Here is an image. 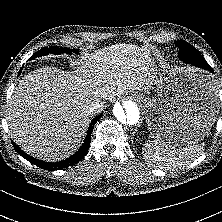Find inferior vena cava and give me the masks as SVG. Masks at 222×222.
Listing matches in <instances>:
<instances>
[{
    "mask_svg": "<svg viewBox=\"0 0 222 222\" xmlns=\"http://www.w3.org/2000/svg\"><path fill=\"white\" fill-rule=\"evenodd\" d=\"M103 102L100 100H95L89 103L88 105V111L90 113L95 112L96 110H98L99 108H101L103 106Z\"/></svg>",
    "mask_w": 222,
    "mask_h": 222,
    "instance_id": "602c4592",
    "label": "inferior vena cava"
}]
</instances>
